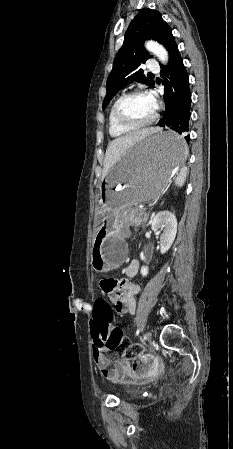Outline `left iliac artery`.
Wrapping results in <instances>:
<instances>
[{
    "instance_id": "obj_1",
    "label": "left iliac artery",
    "mask_w": 233,
    "mask_h": 449,
    "mask_svg": "<svg viewBox=\"0 0 233 449\" xmlns=\"http://www.w3.org/2000/svg\"><path fill=\"white\" fill-rule=\"evenodd\" d=\"M139 333H140V330H139V329H137V331H136V336H138V335H139Z\"/></svg>"
}]
</instances>
